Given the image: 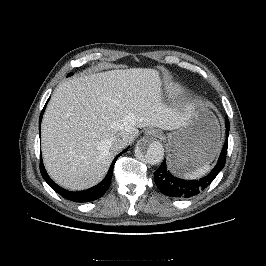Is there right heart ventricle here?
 Segmentation results:
<instances>
[{"label": "right heart ventricle", "mask_w": 266, "mask_h": 266, "mask_svg": "<svg viewBox=\"0 0 266 266\" xmlns=\"http://www.w3.org/2000/svg\"><path fill=\"white\" fill-rule=\"evenodd\" d=\"M165 94L169 97H175L180 94L181 87L177 83L169 82L165 85Z\"/></svg>", "instance_id": "1"}]
</instances>
